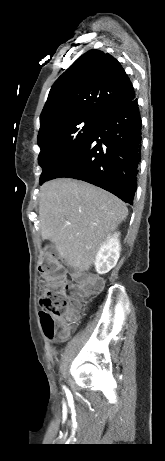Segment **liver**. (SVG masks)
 I'll return each instance as SVG.
<instances>
[{"label":"liver","instance_id":"1","mask_svg":"<svg viewBox=\"0 0 165 461\" xmlns=\"http://www.w3.org/2000/svg\"><path fill=\"white\" fill-rule=\"evenodd\" d=\"M127 215L124 202L86 182L60 178L41 187L42 238L54 243L60 257L81 271L90 269L104 236Z\"/></svg>","mask_w":165,"mask_h":461}]
</instances>
